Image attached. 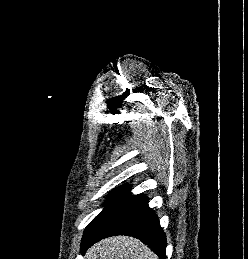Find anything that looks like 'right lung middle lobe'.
Masks as SVG:
<instances>
[{
	"label": "right lung middle lobe",
	"instance_id": "dd1d6c3e",
	"mask_svg": "<svg viewBox=\"0 0 248 259\" xmlns=\"http://www.w3.org/2000/svg\"><path fill=\"white\" fill-rule=\"evenodd\" d=\"M131 186L130 185H122L113 191L110 192L109 197L106 200V205L103 211L96 216L92 222L87 226V228L84 231L83 238L89 235L99 224V222L103 219V217L107 214V212L111 209V207L122 197L124 196L129 190Z\"/></svg>",
	"mask_w": 248,
	"mask_h": 259
}]
</instances>
